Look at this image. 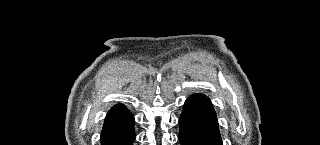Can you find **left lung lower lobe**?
I'll return each mask as SVG.
<instances>
[{
  "mask_svg": "<svg viewBox=\"0 0 320 145\" xmlns=\"http://www.w3.org/2000/svg\"><path fill=\"white\" fill-rule=\"evenodd\" d=\"M181 145H222L216 113L208 97L194 94L179 118Z\"/></svg>",
  "mask_w": 320,
  "mask_h": 145,
  "instance_id": "1",
  "label": "left lung lower lobe"
}]
</instances>
